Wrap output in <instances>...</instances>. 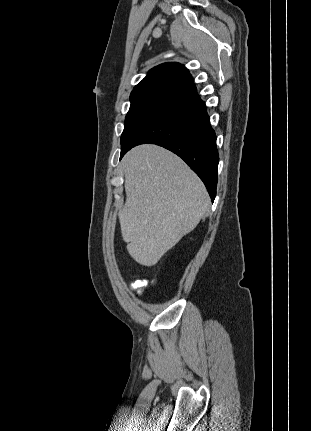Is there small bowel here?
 Here are the masks:
<instances>
[{
  "mask_svg": "<svg viewBox=\"0 0 311 431\" xmlns=\"http://www.w3.org/2000/svg\"><path fill=\"white\" fill-rule=\"evenodd\" d=\"M147 283H148V281L145 280V279H143V280H136V281H133L130 284V288L132 290L136 291L138 294H141L142 291H143V289H144V287L147 285Z\"/></svg>",
  "mask_w": 311,
  "mask_h": 431,
  "instance_id": "obj_1",
  "label": "small bowel"
}]
</instances>
